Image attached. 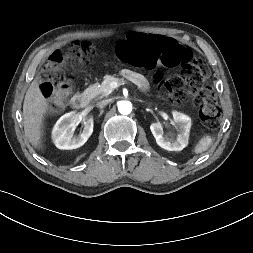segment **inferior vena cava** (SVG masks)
<instances>
[{"mask_svg":"<svg viewBox=\"0 0 253 253\" xmlns=\"http://www.w3.org/2000/svg\"><path fill=\"white\" fill-rule=\"evenodd\" d=\"M108 103H109V100L105 99V100L99 101V102L97 103V106L100 107V108H103V107H105Z\"/></svg>","mask_w":253,"mask_h":253,"instance_id":"inferior-vena-cava-1","label":"inferior vena cava"}]
</instances>
